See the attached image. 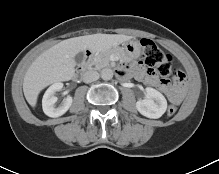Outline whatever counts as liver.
I'll use <instances>...</instances> for the list:
<instances>
[{
	"instance_id": "liver-1",
	"label": "liver",
	"mask_w": 219,
	"mask_h": 174,
	"mask_svg": "<svg viewBox=\"0 0 219 174\" xmlns=\"http://www.w3.org/2000/svg\"><path fill=\"white\" fill-rule=\"evenodd\" d=\"M132 38L123 34L98 33L66 39L52 46L36 58L25 74L23 92L27 102L35 107L38 95L45 87L71 80L78 53L86 50L91 53L108 51Z\"/></svg>"
}]
</instances>
